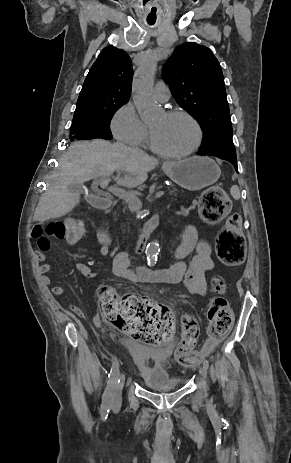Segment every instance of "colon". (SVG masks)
Here are the masks:
<instances>
[{
	"mask_svg": "<svg viewBox=\"0 0 291 463\" xmlns=\"http://www.w3.org/2000/svg\"><path fill=\"white\" fill-rule=\"evenodd\" d=\"M231 202L225 191L217 186L206 189L199 200V210L203 219L210 224L219 222L226 216ZM86 233L83 221L68 219L39 223L33 229V235L48 238L78 240ZM218 259L229 266L243 263L245 257V239L241 229V217L230 216L219 231L216 240ZM216 293L224 290L223 281L213 280ZM101 318L122 332L151 344L167 342L174 332V319L168 308L140 296L121 298L107 286L97 291ZM209 342L208 349L230 331L234 314L228 302L222 297L212 300L208 310ZM183 334L175 359L181 366H189L199 360L200 356L192 351L197 340L199 328L197 322L189 317L182 320Z\"/></svg>",
	"mask_w": 291,
	"mask_h": 463,
	"instance_id": "colon-1",
	"label": "colon"
}]
</instances>
